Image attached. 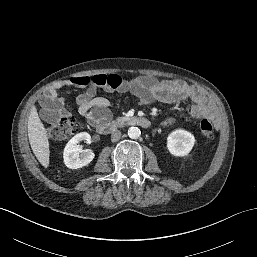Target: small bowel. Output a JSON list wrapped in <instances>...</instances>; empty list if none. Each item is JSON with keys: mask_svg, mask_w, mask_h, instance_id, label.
Segmentation results:
<instances>
[{"mask_svg": "<svg viewBox=\"0 0 257 257\" xmlns=\"http://www.w3.org/2000/svg\"><path fill=\"white\" fill-rule=\"evenodd\" d=\"M86 80L85 84H77L74 78L54 83L40 100L42 115L47 121H54L63 110L64 101L58 97V92L63 87H87L86 91L78 95L76 104L79 114L91 126L109 121L111 118L110 108L114 106L108 99L98 96L97 90L118 92L120 94L131 93L141 103L147 104L153 101L163 103H179L190 101V114L195 118L209 116L212 105L204 92L181 80L159 81L149 76H138L123 79L116 74H99L93 77H79ZM174 118L167 119L163 124L171 125Z\"/></svg>", "mask_w": 257, "mask_h": 257, "instance_id": "c3829d8e", "label": "small bowel"}]
</instances>
